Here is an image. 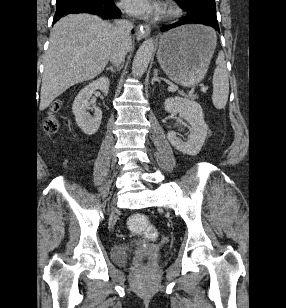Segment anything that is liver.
Returning <instances> with one entry per match:
<instances>
[{"mask_svg": "<svg viewBox=\"0 0 286 308\" xmlns=\"http://www.w3.org/2000/svg\"><path fill=\"white\" fill-rule=\"evenodd\" d=\"M116 39L114 26L95 15L72 14L52 28L44 59L40 105L45 110L71 86L98 76L108 64ZM132 39L127 42V51Z\"/></svg>", "mask_w": 286, "mask_h": 308, "instance_id": "6515ba94", "label": "liver"}]
</instances>
